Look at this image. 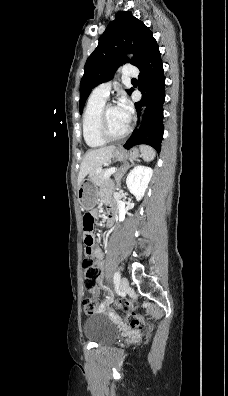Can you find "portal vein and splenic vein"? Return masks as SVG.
<instances>
[{
    "label": "portal vein and splenic vein",
    "mask_w": 228,
    "mask_h": 396,
    "mask_svg": "<svg viewBox=\"0 0 228 396\" xmlns=\"http://www.w3.org/2000/svg\"><path fill=\"white\" fill-rule=\"evenodd\" d=\"M116 170H117V168H115V167H112V168L107 169V170L105 171V173H104V178H105V179L108 178L109 176H111L112 174H114V173L116 172Z\"/></svg>",
    "instance_id": "1"
}]
</instances>
